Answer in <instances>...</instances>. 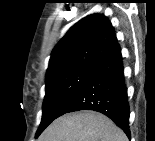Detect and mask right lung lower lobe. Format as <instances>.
<instances>
[{
  "label": "right lung lower lobe",
  "mask_w": 155,
  "mask_h": 141,
  "mask_svg": "<svg viewBox=\"0 0 155 141\" xmlns=\"http://www.w3.org/2000/svg\"><path fill=\"white\" fill-rule=\"evenodd\" d=\"M79 110L103 113L130 138L129 103L119 45L95 68L90 77L64 105L59 116Z\"/></svg>",
  "instance_id": "obj_1"
}]
</instances>
